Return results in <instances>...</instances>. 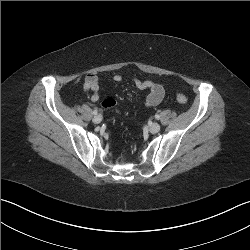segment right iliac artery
I'll return each instance as SVG.
<instances>
[{
	"instance_id": "right-iliac-artery-1",
	"label": "right iliac artery",
	"mask_w": 250,
	"mask_h": 250,
	"mask_svg": "<svg viewBox=\"0 0 250 250\" xmlns=\"http://www.w3.org/2000/svg\"><path fill=\"white\" fill-rule=\"evenodd\" d=\"M98 113L97 109H94L93 114L96 115Z\"/></svg>"
}]
</instances>
